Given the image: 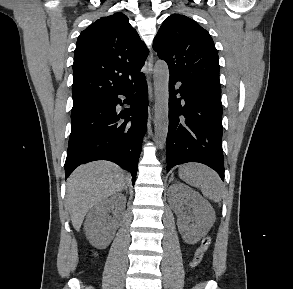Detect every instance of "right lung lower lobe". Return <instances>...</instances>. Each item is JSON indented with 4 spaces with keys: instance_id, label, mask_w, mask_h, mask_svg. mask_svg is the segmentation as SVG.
Listing matches in <instances>:
<instances>
[{
    "instance_id": "right-lung-lower-lobe-1",
    "label": "right lung lower lobe",
    "mask_w": 293,
    "mask_h": 289,
    "mask_svg": "<svg viewBox=\"0 0 293 289\" xmlns=\"http://www.w3.org/2000/svg\"><path fill=\"white\" fill-rule=\"evenodd\" d=\"M118 95L126 96L130 105L122 113L116 108L122 102ZM147 97L148 87L142 75L130 87L71 114L65 178L83 163L109 160L130 171L134 183L147 124Z\"/></svg>"
}]
</instances>
